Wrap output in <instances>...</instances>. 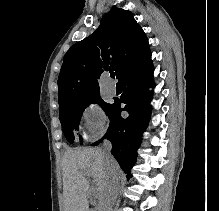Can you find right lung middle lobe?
Listing matches in <instances>:
<instances>
[{
    "mask_svg": "<svg viewBox=\"0 0 219 211\" xmlns=\"http://www.w3.org/2000/svg\"><path fill=\"white\" fill-rule=\"evenodd\" d=\"M92 103H99L100 106L107 112V114L113 106V104L104 102L100 97V94L59 106L61 125L63 127L65 136L70 143H73L74 141L73 130L79 129V122L84 109Z\"/></svg>",
    "mask_w": 219,
    "mask_h": 211,
    "instance_id": "right-lung-middle-lobe-1",
    "label": "right lung middle lobe"
}]
</instances>
